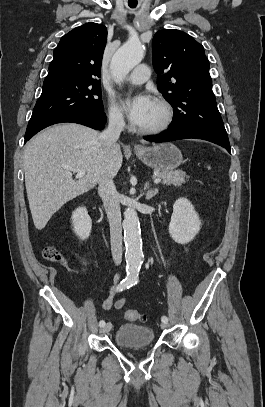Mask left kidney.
Segmentation results:
<instances>
[{
	"label": "left kidney",
	"mask_w": 265,
	"mask_h": 407,
	"mask_svg": "<svg viewBox=\"0 0 265 407\" xmlns=\"http://www.w3.org/2000/svg\"><path fill=\"white\" fill-rule=\"evenodd\" d=\"M201 227V221L191 202L179 198L173 205V214L169 224V233L178 244L191 242Z\"/></svg>",
	"instance_id": "obj_1"
}]
</instances>
